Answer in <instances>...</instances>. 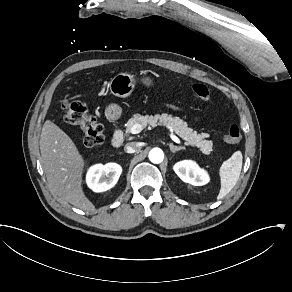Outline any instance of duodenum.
<instances>
[{
    "mask_svg": "<svg viewBox=\"0 0 292 292\" xmlns=\"http://www.w3.org/2000/svg\"><path fill=\"white\" fill-rule=\"evenodd\" d=\"M124 142V133L122 128H117L113 132V136L111 139V144L113 147L118 148L120 147Z\"/></svg>",
    "mask_w": 292,
    "mask_h": 292,
    "instance_id": "410a0bca",
    "label": "duodenum"
}]
</instances>
